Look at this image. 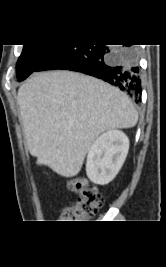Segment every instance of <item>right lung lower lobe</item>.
Returning <instances> with one entry per match:
<instances>
[{"label": "right lung lower lobe", "mask_w": 166, "mask_h": 267, "mask_svg": "<svg viewBox=\"0 0 166 267\" xmlns=\"http://www.w3.org/2000/svg\"><path fill=\"white\" fill-rule=\"evenodd\" d=\"M55 69L94 76L126 92L136 103L141 101L142 82L134 46L60 45L36 71Z\"/></svg>", "instance_id": "1"}]
</instances>
